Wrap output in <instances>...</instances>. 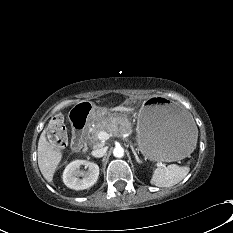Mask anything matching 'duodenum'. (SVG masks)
Masks as SVG:
<instances>
[{
	"label": "duodenum",
	"instance_id": "410a0bca",
	"mask_svg": "<svg viewBox=\"0 0 233 233\" xmlns=\"http://www.w3.org/2000/svg\"><path fill=\"white\" fill-rule=\"evenodd\" d=\"M92 106L88 102L75 106L70 116V123L74 127L72 146L75 150H81L86 144L87 119L90 117Z\"/></svg>",
	"mask_w": 233,
	"mask_h": 233
}]
</instances>
